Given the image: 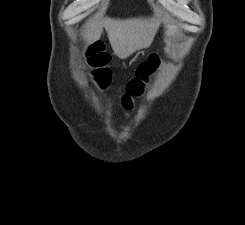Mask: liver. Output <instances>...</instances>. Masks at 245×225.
Here are the masks:
<instances>
[{
    "mask_svg": "<svg viewBox=\"0 0 245 225\" xmlns=\"http://www.w3.org/2000/svg\"><path fill=\"white\" fill-rule=\"evenodd\" d=\"M105 28L112 49L119 58L125 59L139 49L146 48L152 42L157 31L153 19L100 20L97 16L86 24L84 38L88 43L98 40Z\"/></svg>",
    "mask_w": 245,
    "mask_h": 225,
    "instance_id": "obj_1",
    "label": "liver"
}]
</instances>
